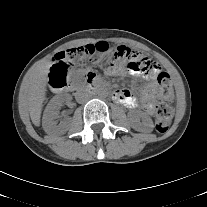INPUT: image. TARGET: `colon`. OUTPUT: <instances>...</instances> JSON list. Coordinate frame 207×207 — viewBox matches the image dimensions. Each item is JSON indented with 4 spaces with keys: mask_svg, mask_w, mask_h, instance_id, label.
Returning <instances> with one entry per match:
<instances>
[{
    "mask_svg": "<svg viewBox=\"0 0 207 207\" xmlns=\"http://www.w3.org/2000/svg\"><path fill=\"white\" fill-rule=\"evenodd\" d=\"M108 46L104 43L87 45L61 51L55 56V63L49 75V82L55 88H62L68 82L71 73L70 64L86 66L94 64L98 56L106 53ZM116 60H126L125 64L129 70H140L147 76L157 75L158 103L156 105L155 126L159 133L166 132L173 118V109L168 104L174 99V89L170 77L165 72H160L159 63L145 54L139 53L126 46H118L112 53L110 65ZM160 72V73H159Z\"/></svg>",
    "mask_w": 207,
    "mask_h": 207,
    "instance_id": "1",
    "label": "colon"
}]
</instances>
